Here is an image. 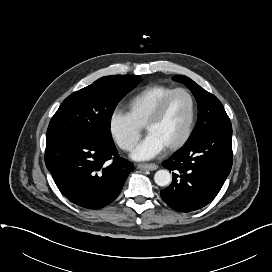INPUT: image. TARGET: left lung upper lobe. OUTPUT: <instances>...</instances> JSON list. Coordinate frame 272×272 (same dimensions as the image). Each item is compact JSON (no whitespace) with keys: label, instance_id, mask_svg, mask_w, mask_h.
Masks as SVG:
<instances>
[{"label":"left lung upper lobe","instance_id":"5c2ea615","mask_svg":"<svg viewBox=\"0 0 272 272\" xmlns=\"http://www.w3.org/2000/svg\"><path fill=\"white\" fill-rule=\"evenodd\" d=\"M172 79L185 84L198 102V122L189 139L212 129L231 126L230 119L216 96L207 92L186 76L176 75Z\"/></svg>","mask_w":272,"mask_h":272}]
</instances>
